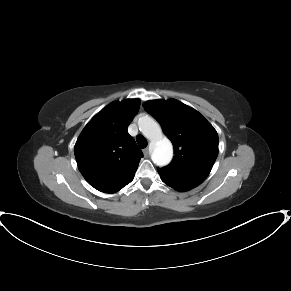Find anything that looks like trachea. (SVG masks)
<instances>
[{"instance_id":"1","label":"trachea","mask_w":291,"mask_h":291,"mask_svg":"<svg viewBox=\"0 0 291 291\" xmlns=\"http://www.w3.org/2000/svg\"><path fill=\"white\" fill-rule=\"evenodd\" d=\"M136 141H137L139 147L142 148V149L147 146V140L142 135H137Z\"/></svg>"}]
</instances>
